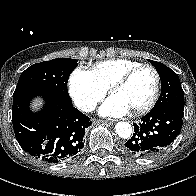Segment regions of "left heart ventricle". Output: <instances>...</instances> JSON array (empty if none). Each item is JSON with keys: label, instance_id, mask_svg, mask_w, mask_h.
I'll use <instances>...</instances> for the list:
<instances>
[{"label": "left heart ventricle", "instance_id": "b2bd125f", "mask_svg": "<svg viewBox=\"0 0 196 196\" xmlns=\"http://www.w3.org/2000/svg\"><path fill=\"white\" fill-rule=\"evenodd\" d=\"M155 87V76L149 69H143L112 96L124 103L130 111L146 104L151 98Z\"/></svg>", "mask_w": 196, "mask_h": 196}]
</instances>
